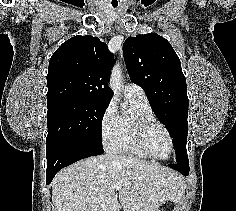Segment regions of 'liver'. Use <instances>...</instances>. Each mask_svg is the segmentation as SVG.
Wrapping results in <instances>:
<instances>
[{"label":"liver","instance_id":"liver-1","mask_svg":"<svg viewBox=\"0 0 236 211\" xmlns=\"http://www.w3.org/2000/svg\"><path fill=\"white\" fill-rule=\"evenodd\" d=\"M159 211L168 198H175L183 181L159 164L133 157L100 155L59 171L52 182L55 211Z\"/></svg>","mask_w":236,"mask_h":211}]
</instances>
